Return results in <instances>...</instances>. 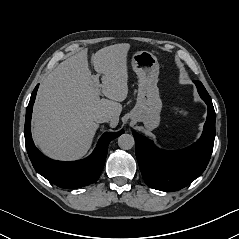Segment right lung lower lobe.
<instances>
[{"instance_id": "98d812e1", "label": "right lung lower lobe", "mask_w": 239, "mask_h": 239, "mask_svg": "<svg viewBox=\"0 0 239 239\" xmlns=\"http://www.w3.org/2000/svg\"><path fill=\"white\" fill-rule=\"evenodd\" d=\"M38 86L39 84L35 87L27 106L24 128L25 145L33 167L49 182L65 189L80 188L95 182L103 170L108 151V144L113 139L123 134L124 131L121 130L119 132L105 133L102 135L92 155L83 160L62 162L44 156L35 147L31 137L30 128L32 108Z\"/></svg>"}]
</instances>
